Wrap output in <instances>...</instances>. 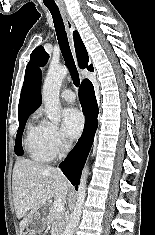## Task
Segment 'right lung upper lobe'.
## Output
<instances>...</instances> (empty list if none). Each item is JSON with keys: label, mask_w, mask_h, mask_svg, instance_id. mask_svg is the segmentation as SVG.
I'll return each instance as SVG.
<instances>
[{"label": "right lung upper lobe", "mask_w": 155, "mask_h": 235, "mask_svg": "<svg viewBox=\"0 0 155 235\" xmlns=\"http://www.w3.org/2000/svg\"><path fill=\"white\" fill-rule=\"evenodd\" d=\"M73 37L79 66L93 71V66H88V53L77 31H74ZM41 103V70L36 69L30 75L25 76L19 100L18 118L30 116Z\"/></svg>", "instance_id": "right-lung-upper-lobe-1"}]
</instances>
